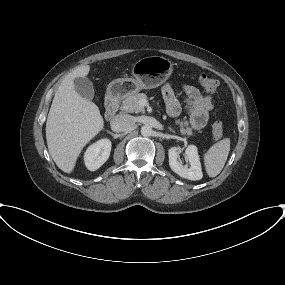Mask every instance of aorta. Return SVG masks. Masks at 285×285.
Here are the masks:
<instances>
[{"label":"aorta","instance_id":"obj_1","mask_svg":"<svg viewBox=\"0 0 285 285\" xmlns=\"http://www.w3.org/2000/svg\"><path fill=\"white\" fill-rule=\"evenodd\" d=\"M153 133V129L151 126L149 125H144L141 127V134L144 136V137H149L151 136Z\"/></svg>","mask_w":285,"mask_h":285}]
</instances>
